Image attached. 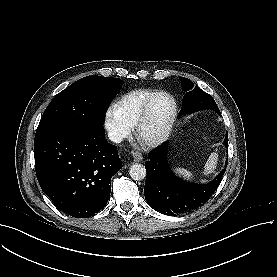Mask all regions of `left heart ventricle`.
<instances>
[{
	"instance_id": "1",
	"label": "left heart ventricle",
	"mask_w": 277,
	"mask_h": 277,
	"mask_svg": "<svg viewBox=\"0 0 277 277\" xmlns=\"http://www.w3.org/2000/svg\"><path fill=\"white\" fill-rule=\"evenodd\" d=\"M172 112V103L165 96H157L141 129L145 139L159 136L166 128Z\"/></svg>"
}]
</instances>
